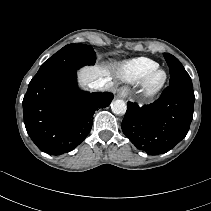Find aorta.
I'll list each match as a JSON object with an SVG mask.
<instances>
[{
    "label": "aorta",
    "mask_w": 211,
    "mask_h": 211,
    "mask_svg": "<svg viewBox=\"0 0 211 211\" xmlns=\"http://www.w3.org/2000/svg\"><path fill=\"white\" fill-rule=\"evenodd\" d=\"M111 109L114 114L122 115L125 114L127 105L125 101L117 99L111 103Z\"/></svg>",
    "instance_id": "obj_1"
}]
</instances>
